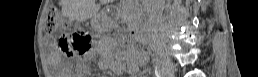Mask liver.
<instances>
[{
  "instance_id": "obj_1",
  "label": "liver",
  "mask_w": 258,
  "mask_h": 77,
  "mask_svg": "<svg viewBox=\"0 0 258 77\" xmlns=\"http://www.w3.org/2000/svg\"><path fill=\"white\" fill-rule=\"evenodd\" d=\"M110 0H101L106 3ZM100 9V4H95V0H62V11L64 14L83 21L96 15Z\"/></svg>"
}]
</instances>
